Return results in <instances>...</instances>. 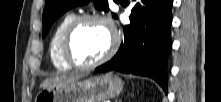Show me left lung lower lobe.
<instances>
[{
  "mask_svg": "<svg viewBox=\"0 0 221 102\" xmlns=\"http://www.w3.org/2000/svg\"><path fill=\"white\" fill-rule=\"evenodd\" d=\"M135 1H132L134 3ZM173 0H139L124 27V40L117 54L96 68L116 70L154 79L167 93V58L170 54Z\"/></svg>",
  "mask_w": 221,
  "mask_h": 102,
  "instance_id": "1",
  "label": "left lung lower lobe"
}]
</instances>
